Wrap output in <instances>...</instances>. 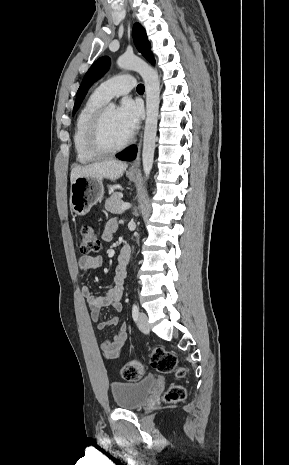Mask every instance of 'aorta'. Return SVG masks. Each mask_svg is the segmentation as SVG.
<instances>
[{
  "mask_svg": "<svg viewBox=\"0 0 289 465\" xmlns=\"http://www.w3.org/2000/svg\"><path fill=\"white\" fill-rule=\"evenodd\" d=\"M122 69L138 72L143 78L146 91V122L144 129L142 162L146 179L149 177L154 160L157 121L159 110L160 82L157 72L135 55H122L117 60Z\"/></svg>",
  "mask_w": 289,
  "mask_h": 465,
  "instance_id": "1",
  "label": "aorta"
}]
</instances>
